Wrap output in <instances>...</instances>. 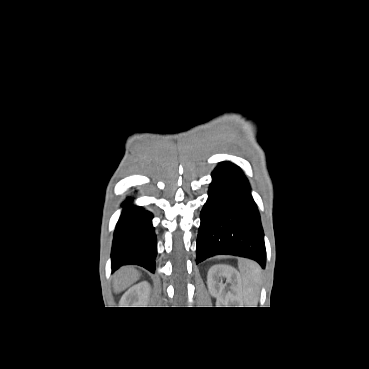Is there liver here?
<instances>
[{
    "label": "liver",
    "instance_id": "1",
    "mask_svg": "<svg viewBox=\"0 0 369 369\" xmlns=\"http://www.w3.org/2000/svg\"><path fill=\"white\" fill-rule=\"evenodd\" d=\"M140 277V273L133 267L120 269L115 277L113 287L116 293L122 292L135 283Z\"/></svg>",
    "mask_w": 369,
    "mask_h": 369
}]
</instances>
